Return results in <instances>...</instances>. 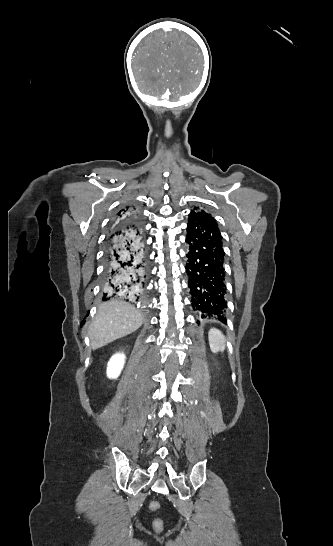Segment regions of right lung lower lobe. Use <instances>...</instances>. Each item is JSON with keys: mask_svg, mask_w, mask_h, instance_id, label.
<instances>
[{"mask_svg": "<svg viewBox=\"0 0 333 546\" xmlns=\"http://www.w3.org/2000/svg\"><path fill=\"white\" fill-rule=\"evenodd\" d=\"M105 262L103 300L113 293L128 298L142 293L148 262L141 229L114 227L107 236Z\"/></svg>", "mask_w": 333, "mask_h": 546, "instance_id": "right-lung-lower-lobe-1", "label": "right lung lower lobe"}]
</instances>
